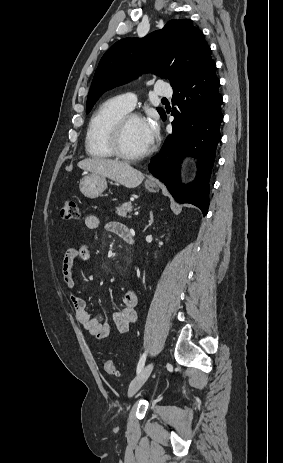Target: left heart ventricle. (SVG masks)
<instances>
[{"label":"left heart ventricle","instance_id":"1","mask_svg":"<svg viewBox=\"0 0 283 463\" xmlns=\"http://www.w3.org/2000/svg\"><path fill=\"white\" fill-rule=\"evenodd\" d=\"M122 147L130 154H139L150 148L143 120L132 119L122 137Z\"/></svg>","mask_w":283,"mask_h":463}]
</instances>
